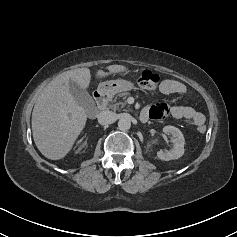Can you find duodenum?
Listing matches in <instances>:
<instances>
[{
    "mask_svg": "<svg viewBox=\"0 0 237 237\" xmlns=\"http://www.w3.org/2000/svg\"><path fill=\"white\" fill-rule=\"evenodd\" d=\"M94 100L96 102L97 108L100 109V110H103L106 107L107 102H108L106 94L102 91H96L94 93ZM89 114L91 116L96 115V113L94 111H89Z\"/></svg>",
    "mask_w": 237,
    "mask_h": 237,
    "instance_id": "1",
    "label": "duodenum"
}]
</instances>
